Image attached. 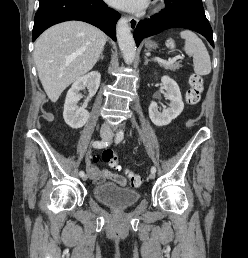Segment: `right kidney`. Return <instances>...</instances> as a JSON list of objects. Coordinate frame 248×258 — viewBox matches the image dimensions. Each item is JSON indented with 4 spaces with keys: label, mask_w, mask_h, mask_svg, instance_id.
Segmentation results:
<instances>
[{
    "label": "right kidney",
    "mask_w": 248,
    "mask_h": 258,
    "mask_svg": "<svg viewBox=\"0 0 248 258\" xmlns=\"http://www.w3.org/2000/svg\"><path fill=\"white\" fill-rule=\"evenodd\" d=\"M101 75L97 71H92L83 77L77 79L66 95L63 118L71 128L78 129L83 127L89 118V112L86 110L88 102L96 94L100 85ZM87 86L89 95L85 99L82 107H78L77 103L81 96L79 91Z\"/></svg>",
    "instance_id": "right-kidney-1"
}]
</instances>
